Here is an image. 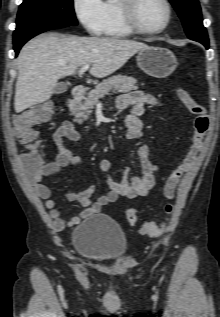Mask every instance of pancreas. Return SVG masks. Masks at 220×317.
I'll use <instances>...</instances> for the list:
<instances>
[{
	"instance_id": "obj_1",
	"label": "pancreas",
	"mask_w": 220,
	"mask_h": 317,
	"mask_svg": "<svg viewBox=\"0 0 220 317\" xmlns=\"http://www.w3.org/2000/svg\"><path fill=\"white\" fill-rule=\"evenodd\" d=\"M136 84L137 80L135 78L125 75H114L105 79L88 93L83 102L75 106V121L81 123L82 119L87 118L92 113V109L98 103L99 99L104 98L109 92H129L138 89Z\"/></svg>"
}]
</instances>
